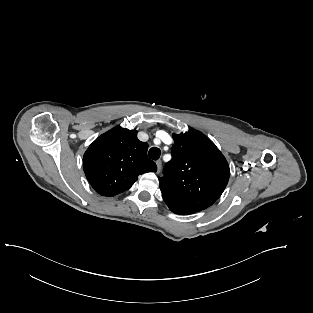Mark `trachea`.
I'll return each instance as SVG.
<instances>
[{"label":"trachea","mask_w":313,"mask_h":313,"mask_svg":"<svg viewBox=\"0 0 313 313\" xmlns=\"http://www.w3.org/2000/svg\"><path fill=\"white\" fill-rule=\"evenodd\" d=\"M149 157L152 159V160H157L159 159L160 155H161V151L159 148L157 147H152L150 150H149V153H148Z\"/></svg>","instance_id":"trachea-1"}]
</instances>
